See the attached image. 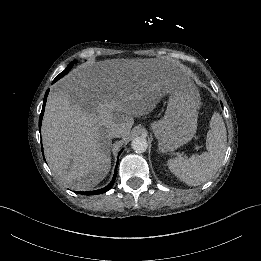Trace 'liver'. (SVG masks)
Returning <instances> with one entry per match:
<instances>
[{"instance_id": "1", "label": "liver", "mask_w": 261, "mask_h": 261, "mask_svg": "<svg viewBox=\"0 0 261 261\" xmlns=\"http://www.w3.org/2000/svg\"><path fill=\"white\" fill-rule=\"evenodd\" d=\"M193 85L185 71L167 75L141 63L73 69L51 90L42 121L45 157L53 174L73 190L94 188L111 168L108 131L118 127L120 137H128L133 117L149 114L172 90Z\"/></svg>"}]
</instances>
